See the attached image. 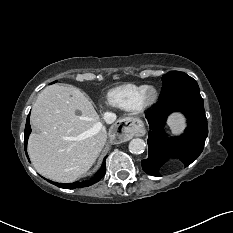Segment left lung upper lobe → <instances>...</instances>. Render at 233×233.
<instances>
[{
	"label": "left lung upper lobe",
	"instance_id": "1",
	"mask_svg": "<svg viewBox=\"0 0 233 233\" xmlns=\"http://www.w3.org/2000/svg\"><path fill=\"white\" fill-rule=\"evenodd\" d=\"M162 81L161 100L182 89L199 88L197 82L192 77L179 71H170L162 77Z\"/></svg>",
	"mask_w": 233,
	"mask_h": 233
}]
</instances>
